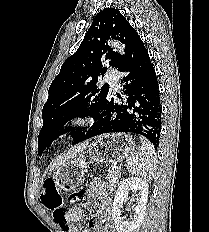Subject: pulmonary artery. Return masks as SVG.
Masks as SVG:
<instances>
[{
  "label": "pulmonary artery",
  "mask_w": 209,
  "mask_h": 232,
  "mask_svg": "<svg viewBox=\"0 0 209 232\" xmlns=\"http://www.w3.org/2000/svg\"><path fill=\"white\" fill-rule=\"evenodd\" d=\"M105 80L110 84L111 87H118V77L117 72L115 70H109L106 73Z\"/></svg>",
  "instance_id": "obj_1"
}]
</instances>
